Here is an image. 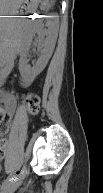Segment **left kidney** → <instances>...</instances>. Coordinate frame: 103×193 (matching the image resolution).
<instances>
[{
    "mask_svg": "<svg viewBox=\"0 0 103 193\" xmlns=\"http://www.w3.org/2000/svg\"><path fill=\"white\" fill-rule=\"evenodd\" d=\"M44 26H47L48 29H44ZM32 33H38L39 35L38 47L40 49V56L33 67L27 64L26 57L30 47V41H27L21 49L19 60L20 74L24 79L30 82H32L37 77V75H39L44 70L52 56L58 34V20L51 19L47 22L44 20H37L33 24Z\"/></svg>",
    "mask_w": 103,
    "mask_h": 193,
    "instance_id": "5707ae66",
    "label": "left kidney"
}]
</instances>
